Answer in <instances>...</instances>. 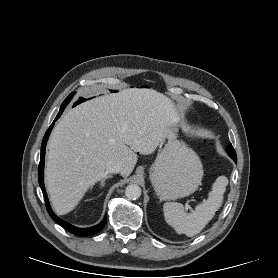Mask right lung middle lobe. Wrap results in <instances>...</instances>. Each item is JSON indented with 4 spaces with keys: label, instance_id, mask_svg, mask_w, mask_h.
I'll use <instances>...</instances> for the list:
<instances>
[{
    "label": "right lung middle lobe",
    "instance_id": "right-lung-middle-lobe-1",
    "mask_svg": "<svg viewBox=\"0 0 278 278\" xmlns=\"http://www.w3.org/2000/svg\"><path fill=\"white\" fill-rule=\"evenodd\" d=\"M73 95H74V93H71V94L65 99V101L62 103V106H63V105H67V104L70 102V100H71V98L73 97Z\"/></svg>",
    "mask_w": 278,
    "mask_h": 278
}]
</instances>
